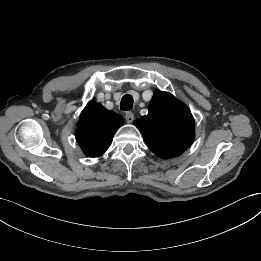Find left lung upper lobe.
Masks as SVG:
<instances>
[{
	"mask_svg": "<svg viewBox=\"0 0 261 261\" xmlns=\"http://www.w3.org/2000/svg\"><path fill=\"white\" fill-rule=\"evenodd\" d=\"M134 124L148 148L164 159L181 155L195 137L191 112L168 92L156 91L148 115L135 120Z\"/></svg>",
	"mask_w": 261,
	"mask_h": 261,
	"instance_id": "1",
	"label": "left lung upper lobe"
}]
</instances>
